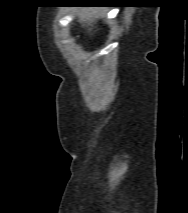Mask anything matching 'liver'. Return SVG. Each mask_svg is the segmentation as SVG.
Instances as JSON below:
<instances>
[{
    "instance_id": "6515ba94",
    "label": "liver",
    "mask_w": 188,
    "mask_h": 213,
    "mask_svg": "<svg viewBox=\"0 0 188 213\" xmlns=\"http://www.w3.org/2000/svg\"><path fill=\"white\" fill-rule=\"evenodd\" d=\"M88 12V10L83 11L84 14H86ZM92 14V13H91ZM95 16L89 15L88 17H83L81 19V22L83 23V26H90L93 27V24L95 23ZM92 28L89 29V31H91Z\"/></svg>"
}]
</instances>
